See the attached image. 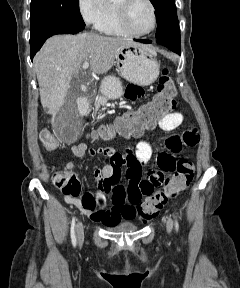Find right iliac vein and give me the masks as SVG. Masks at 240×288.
Instances as JSON below:
<instances>
[{"mask_svg":"<svg viewBox=\"0 0 240 288\" xmlns=\"http://www.w3.org/2000/svg\"><path fill=\"white\" fill-rule=\"evenodd\" d=\"M76 232H77L78 242L81 245L84 240V227L80 221L76 225Z\"/></svg>","mask_w":240,"mask_h":288,"instance_id":"63e3f726","label":"right iliac vein"}]
</instances>
